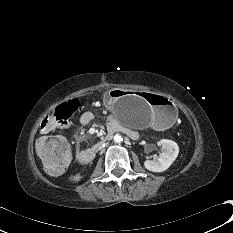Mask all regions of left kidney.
<instances>
[{"label":"left kidney","instance_id":"1","mask_svg":"<svg viewBox=\"0 0 233 233\" xmlns=\"http://www.w3.org/2000/svg\"><path fill=\"white\" fill-rule=\"evenodd\" d=\"M161 147V153L157 160H146L144 166L152 172H163L167 170L175 161L179 153V147L176 142L168 139H162L158 142Z\"/></svg>","mask_w":233,"mask_h":233}]
</instances>
